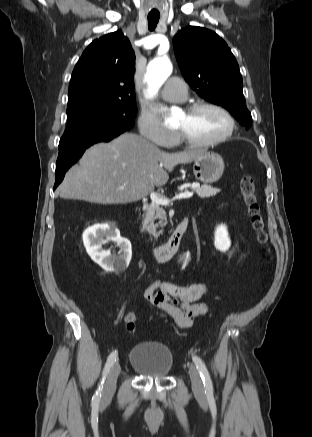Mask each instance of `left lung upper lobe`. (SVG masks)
<instances>
[{
  "mask_svg": "<svg viewBox=\"0 0 312 437\" xmlns=\"http://www.w3.org/2000/svg\"><path fill=\"white\" fill-rule=\"evenodd\" d=\"M173 45L182 74L196 93L225 107L248 129L252 117L246 107L242 77L225 41L209 29L189 26L175 35Z\"/></svg>",
  "mask_w": 312,
  "mask_h": 437,
  "instance_id": "obj_1",
  "label": "left lung upper lobe"
}]
</instances>
